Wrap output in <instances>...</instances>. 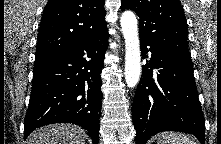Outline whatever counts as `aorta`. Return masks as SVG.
<instances>
[{
  "mask_svg": "<svg viewBox=\"0 0 221 144\" xmlns=\"http://www.w3.org/2000/svg\"><path fill=\"white\" fill-rule=\"evenodd\" d=\"M121 31L125 39V80L128 87L137 85L141 75V54L137 19L133 12L121 16Z\"/></svg>",
  "mask_w": 221,
  "mask_h": 144,
  "instance_id": "aorta-1",
  "label": "aorta"
}]
</instances>
